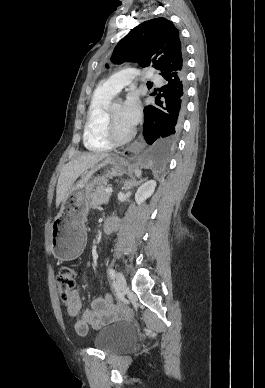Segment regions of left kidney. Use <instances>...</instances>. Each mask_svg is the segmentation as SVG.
<instances>
[{
	"label": "left kidney",
	"instance_id": "obj_1",
	"mask_svg": "<svg viewBox=\"0 0 265 388\" xmlns=\"http://www.w3.org/2000/svg\"><path fill=\"white\" fill-rule=\"evenodd\" d=\"M156 188V182L155 180H148V182H145V184H142L140 188H138L136 194H135V200L137 204H142V202H145L147 198H150L152 194H154V190Z\"/></svg>",
	"mask_w": 265,
	"mask_h": 388
}]
</instances>
